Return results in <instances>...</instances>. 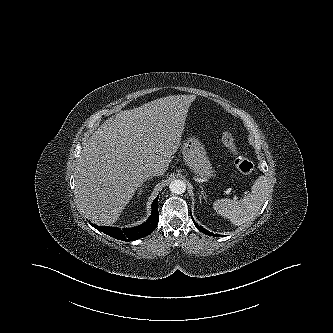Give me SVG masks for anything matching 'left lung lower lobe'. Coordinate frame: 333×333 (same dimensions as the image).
<instances>
[{
  "instance_id": "left-lung-lower-lobe-1",
  "label": "left lung lower lobe",
  "mask_w": 333,
  "mask_h": 333,
  "mask_svg": "<svg viewBox=\"0 0 333 333\" xmlns=\"http://www.w3.org/2000/svg\"><path fill=\"white\" fill-rule=\"evenodd\" d=\"M193 222H194L195 226L197 227V229H199L202 233L210 235V236H219L217 234H214V233H211V232L205 230L203 227L199 226L194 220H193Z\"/></svg>"
}]
</instances>
